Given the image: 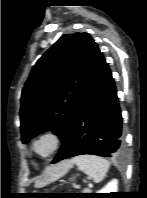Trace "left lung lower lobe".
Here are the masks:
<instances>
[{
	"label": "left lung lower lobe",
	"mask_w": 147,
	"mask_h": 198,
	"mask_svg": "<svg viewBox=\"0 0 147 198\" xmlns=\"http://www.w3.org/2000/svg\"><path fill=\"white\" fill-rule=\"evenodd\" d=\"M123 149L116 86L105 58L98 50L87 90L52 163L83 154L114 157Z\"/></svg>",
	"instance_id": "left-lung-lower-lobe-1"
}]
</instances>
